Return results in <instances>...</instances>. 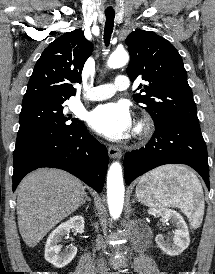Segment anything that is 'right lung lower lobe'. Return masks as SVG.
Instances as JSON below:
<instances>
[{"mask_svg": "<svg viewBox=\"0 0 215 274\" xmlns=\"http://www.w3.org/2000/svg\"><path fill=\"white\" fill-rule=\"evenodd\" d=\"M13 164V190L29 172L53 167L75 175L100 193L108 168V153L81 122L76 128L32 147Z\"/></svg>", "mask_w": 215, "mask_h": 274, "instance_id": "1", "label": "right lung lower lobe"}]
</instances>
